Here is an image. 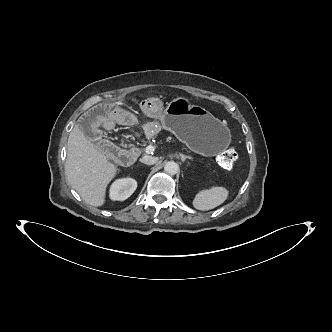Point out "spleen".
Listing matches in <instances>:
<instances>
[{
    "label": "spleen",
    "instance_id": "3e777b00",
    "mask_svg": "<svg viewBox=\"0 0 332 332\" xmlns=\"http://www.w3.org/2000/svg\"><path fill=\"white\" fill-rule=\"evenodd\" d=\"M229 195L225 187H212L200 190L193 199V206L197 210L207 211L223 204Z\"/></svg>",
    "mask_w": 332,
    "mask_h": 332
}]
</instances>
